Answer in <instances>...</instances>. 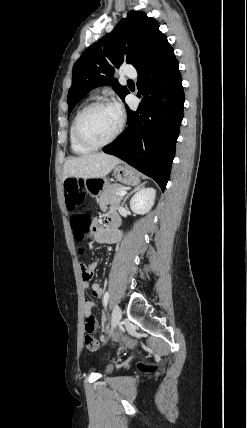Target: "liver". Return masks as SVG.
<instances>
[{"instance_id":"6515ba94","label":"liver","mask_w":247,"mask_h":428,"mask_svg":"<svg viewBox=\"0 0 247 428\" xmlns=\"http://www.w3.org/2000/svg\"><path fill=\"white\" fill-rule=\"evenodd\" d=\"M120 162L119 158L105 153L86 154L70 158L64 164L63 180L68 177L78 179L104 178Z\"/></svg>"}]
</instances>
